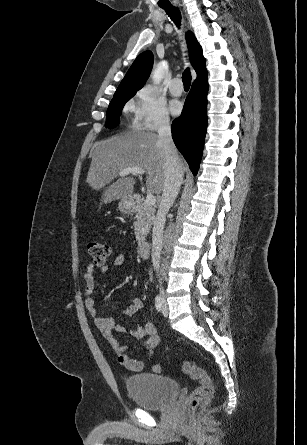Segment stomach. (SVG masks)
<instances>
[{
  "label": "stomach",
  "instance_id": "obj_1",
  "mask_svg": "<svg viewBox=\"0 0 307 445\" xmlns=\"http://www.w3.org/2000/svg\"><path fill=\"white\" fill-rule=\"evenodd\" d=\"M132 206L133 202L130 200V198H120L118 202V208L120 212H123V214H128V212H131Z\"/></svg>",
  "mask_w": 307,
  "mask_h": 445
}]
</instances>
